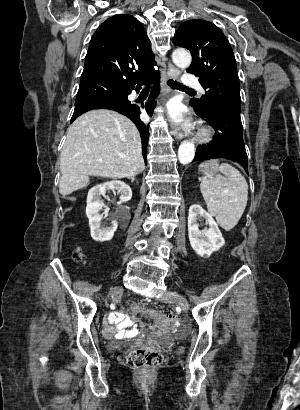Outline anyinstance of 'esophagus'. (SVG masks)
<instances>
[{
    "label": "esophagus",
    "instance_id": "esophagus-1",
    "mask_svg": "<svg viewBox=\"0 0 300 410\" xmlns=\"http://www.w3.org/2000/svg\"><path fill=\"white\" fill-rule=\"evenodd\" d=\"M167 75H168V78H169V79H176V78L179 77L180 71H179L177 68H175L174 66L169 65V69H168ZM171 134H172L177 140H180V139L183 138V133H182L181 129H180L178 126H176V125H173V126H172V128H171Z\"/></svg>",
    "mask_w": 300,
    "mask_h": 410
}]
</instances>
